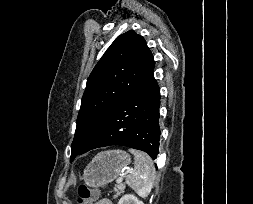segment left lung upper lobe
<instances>
[{
  "label": "left lung upper lobe",
  "mask_w": 253,
  "mask_h": 204,
  "mask_svg": "<svg viewBox=\"0 0 253 204\" xmlns=\"http://www.w3.org/2000/svg\"><path fill=\"white\" fill-rule=\"evenodd\" d=\"M153 61L146 41L133 30L115 39L87 79L70 161L85 149L103 120L138 86Z\"/></svg>",
  "instance_id": "1"
}]
</instances>
